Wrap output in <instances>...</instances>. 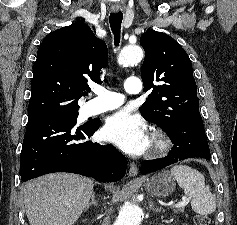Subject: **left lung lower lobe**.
Instances as JSON below:
<instances>
[{
  "instance_id": "0a47b994",
  "label": "left lung lower lobe",
  "mask_w": 237,
  "mask_h": 225,
  "mask_svg": "<svg viewBox=\"0 0 237 225\" xmlns=\"http://www.w3.org/2000/svg\"><path fill=\"white\" fill-rule=\"evenodd\" d=\"M167 133L174 144L169 155L162 160L144 161L139 168L142 174L160 170L187 158L210 159L208 141L199 110L190 113Z\"/></svg>"
}]
</instances>
